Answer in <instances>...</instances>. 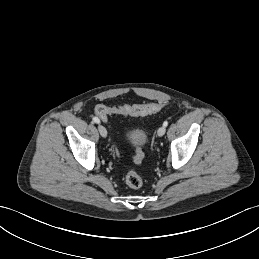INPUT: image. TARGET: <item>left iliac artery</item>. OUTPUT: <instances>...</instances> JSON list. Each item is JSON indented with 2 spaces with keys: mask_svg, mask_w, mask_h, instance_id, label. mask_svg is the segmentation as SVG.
<instances>
[{
  "mask_svg": "<svg viewBox=\"0 0 259 259\" xmlns=\"http://www.w3.org/2000/svg\"><path fill=\"white\" fill-rule=\"evenodd\" d=\"M163 126L167 127V126H168V122L165 121V122L163 123Z\"/></svg>",
  "mask_w": 259,
  "mask_h": 259,
  "instance_id": "left-iliac-artery-1",
  "label": "left iliac artery"
}]
</instances>
